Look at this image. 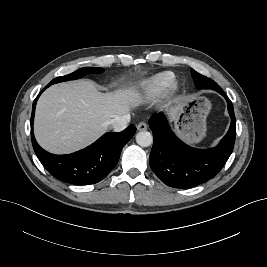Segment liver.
<instances>
[{"label":"liver","instance_id":"obj_1","mask_svg":"<svg viewBox=\"0 0 267 267\" xmlns=\"http://www.w3.org/2000/svg\"><path fill=\"white\" fill-rule=\"evenodd\" d=\"M141 102L142 96L133 87L101 93L90 80L56 84L38 100L34 134L45 150L72 153L96 141L111 119L129 114ZM181 104L177 101L170 107V118H175Z\"/></svg>","mask_w":267,"mask_h":267}]
</instances>
